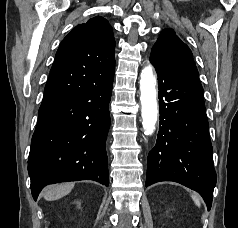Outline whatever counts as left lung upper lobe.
<instances>
[{
  "instance_id": "5c2ea615",
  "label": "left lung upper lobe",
  "mask_w": 238,
  "mask_h": 228,
  "mask_svg": "<svg viewBox=\"0 0 238 228\" xmlns=\"http://www.w3.org/2000/svg\"><path fill=\"white\" fill-rule=\"evenodd\" d=\"M151 55L162 56L171 64L198 75L192 52L170 28L164 29L152 48Z\"/></svg>"
}]
</instances>
